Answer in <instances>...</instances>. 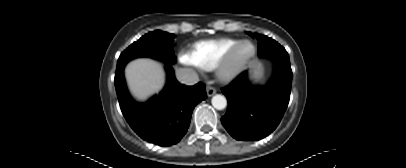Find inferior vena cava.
Instances as JSON below:
<instances>
[{"label":"inferior vena cava","instance_id":"inferior-vena-cava-1","mask_svg":"<svg viewBox=\"0 0 406 168\" xmlns=\"http://www.w3.org/2000/svg\"><path fill=\"white\" fill-rule=\"evenodd\" d=\"M177 79L185 85H194L199 82L197 73L191 69H181L177 72Z\"/></svg>","mask_w":406,"mask_h":168}]
</instances>
